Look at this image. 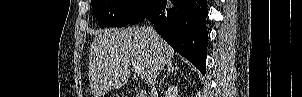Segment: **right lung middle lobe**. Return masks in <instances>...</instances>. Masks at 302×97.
<instances>
[{"mask_svg":"<svg viewBox=\"0 0 302 97\" xmlns=\"http://www.w3.org/2000/svg\"><path fill=\"white\" fill-rule=\"evenodd\" d=\"M149 0H91L100 27L128 25Z\"/></svg>","mask_w":302,"mask_h":97,"instance_id":"right-lung-middle-lobe-1","label":"right lung middle lobe"}]
</instances>
